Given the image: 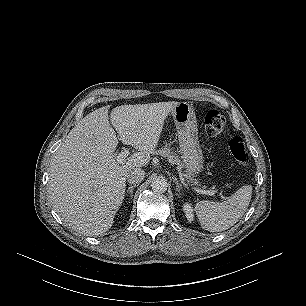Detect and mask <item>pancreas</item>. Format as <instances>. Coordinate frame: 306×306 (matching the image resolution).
Listing matches in <instances>:
<instances>
[{"label": "pancreas", "instance_id": "1", "mask_svg": "<svg viewBox=\"0 0 306 306\" xmlns=\"http://www.w3.org/2000/svg\"><path fill=\"white\" fill-rule=\"evenodd\" d=\"M155 154H160L163 157H167L169 161L173 162V163H177V165L179 166V168L184 167V164L180 161L179 157L176 155V153H174L172 151V149L165 145L164 147H162L161 149L157 150L154 152ZM183 176L188 179L189 181L194 182L195 184H197V181H195L192 178L191 173L188 170H185L183 173Z\"/></svg>", "mask_w": 306, "mask_h": 306}]
</instances>
